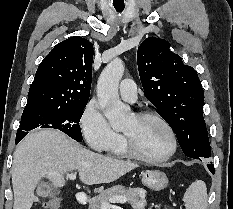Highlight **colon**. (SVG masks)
<instances>
[{
  "label": "colon",
  "mask_w": 233,
  "mask_h": 209,
  "mask_svg": "<svg viewBox=\"0 0 233 209\" xmlns=\"http://www.w3.org/2000/svg\"><path fill=\"white\" fill-rule=\"evenodd\" d=\"M60 199L51 198L43 203L44 209H60Z\"/></svg>",
  "instance_id": "obj_1"
}]
</instances>
